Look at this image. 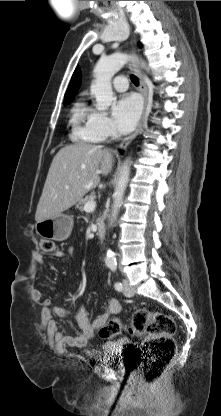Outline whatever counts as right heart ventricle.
<instances>
[{"instance_id": "obj_1", "label": "right heart ventricle", "mask_w": 221, "mask_h": 416, "mask_svg": "<svg viewBox=\"0 0 221 416\" xmlns=\"http://www.w3.org/2000/svg\"><path fill=\"white\" fill-rule=\"evenodd\" d=\"M89 108L83 102H77L72 109L71 122L74 127V138L80 142H96L97 140L89 133L86 125Z\"/></svg>"}]
</instances>
